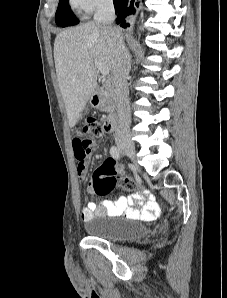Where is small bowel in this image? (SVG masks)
Listing matches in <instances>:
<instances>
[{
    "mask_svg": "<svg viewBox=\"0 0 227 298\" xmlns=\"http://www.w3.org/2000/svg\"><path fill=\"white\" fill-rule=\"evenodd\" d=\"M70 144L73 146L74 157L78 160V175L81 180H84L88 170V158L90 151H93L94 142L70 139ZM134 204L137 207H134ZM121 215L131 219L153 220L160 215V208L149 191L140 189L130 196L121 195L115 201L103 200L99 204L89 202L80 211V217L83 221H88L95 216L116 217Z\"/></svg>",
    "mask_w": 227,
    "mask_h": 298,
    "instance_id": "obj_1",
    "label": "small bowel"
}]
</instances>
